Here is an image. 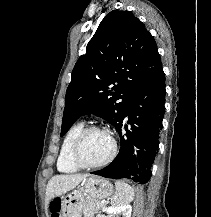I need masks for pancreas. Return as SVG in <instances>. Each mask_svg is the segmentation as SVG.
<instances>
[{
    "mask_svg": "<svg viewBox=\"0 0 211 217\" xmlns=\"http://www.w3.org/2000/svg\"><path fill=\"white\" fill-rule=\"evenodd\" d=\"M103 207V204L98 200L86 199L83 206L84 217H93Z\"/></svg>",
    "mask_w": 211,
    "mask_h": 217,
    "instance_id": "obj_1",
    "label": "pancreas"
}]
</instances>
